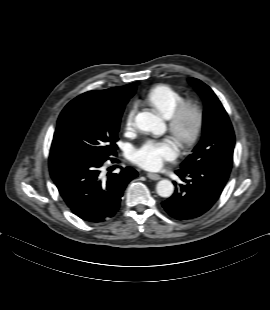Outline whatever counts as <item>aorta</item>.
Segmentation results:
<instances>
[{
    "instance_id": "obj_1",
    "label": "aorta",
    "mask_w": 270,
    "mask_h": 310,
    "mask_svg": "<svg viewBox=\"0 0 270 310\" xmlns=\"http://www.w3.org/2000/svg\"><path fill=\"white\" fill-rule=\"evenodd\" d=\"M136 126L146 132H153L155 134H161L165 131V124L163 120L154 113L140 112L135 117ZM157 194L161 197L168 198L174 192V186L170 180L163 179L157 183Z\"/></svg>"
}]
</instances>
